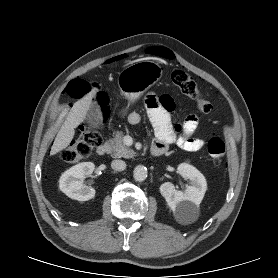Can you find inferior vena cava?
<instances>
[{
  "instance_id": "obj_1",
  "label": "inferior vena cava",
  "mask_w": 278,
  "mask_h": 278,
  "mask_svg": "<svg viewBox=\"0 0 278 278\" xmlns=\"http://www.w3.org/2000/svg\"><path fill=\"white\" fill-rule=\"evenodd\" d=\"M111 167L117 171H123L126 168V163L123 160H113Z\"/></svg>"
}]
</instances>
